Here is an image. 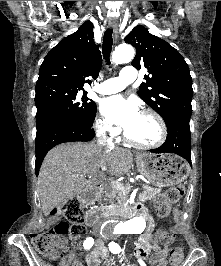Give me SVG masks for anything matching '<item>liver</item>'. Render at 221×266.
I'll return each mask as SVG.
<instances>
[{"instance_id":"obj_1","label":"liver","mask_w":221,"mask_h":266,"mask_svg":"<svg viewBox=\"0 0 221 266\" xmlns=\"http://www.w3.org/2000/svg\"><path fill=\"white\" fill-rule=\"evenodd\" d=\"M133 164L131 151L108 149L95 143H64L51 149L41 166L38 192L44 216L60 203L84 192L90 183L86 175L97 173L105 166L116 177L126 175ZM78 175V177H74Z\"/></svg>"}]
</instances>
